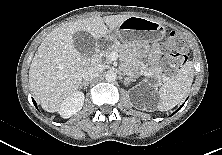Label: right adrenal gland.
Masks as SVG:
<instances>
[{
	"instance_id": "obj_1",
	"label": "right adrenal gland",
	"mask_w": 222,
	"mask_h": 155,
	"mask_svg": "<svg viewBox=\"0 0 222 155\" xmlns=\"http://www.w3.org/2000/svg\"><path fill=\"white\" fill-rule=\"evenodd\" d=\"M88 85H89V82H82V83L80 84V89H82L83 86H84L85 88H87Z\"/></svg>"
}]
</instances>
